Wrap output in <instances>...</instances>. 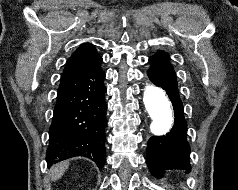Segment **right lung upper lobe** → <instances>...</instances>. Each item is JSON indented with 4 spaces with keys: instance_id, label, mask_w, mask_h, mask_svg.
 Listing matches in <instances>:
<instances>
[{
    "instance_id": "right-lung-upper-lobe-1",
    "label": "right lung upper lobe",
    "mask_w": 238,
    "mask_h": 190,
    "mask_svg": "<svg viewBox=\"0 0 238 190\" xmlns=\"http://www.w3.org/2000/svg\"><path fill=\"white\" fill-rule=\"evenodd\" d=\"M101 59L95 47L90 43H83L67 60L61 81L86 70L94 62Z\"/></svg>"
}]
</instances>
